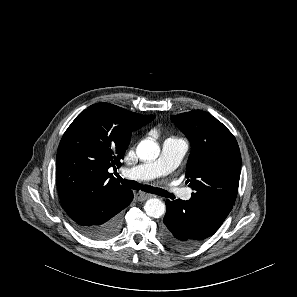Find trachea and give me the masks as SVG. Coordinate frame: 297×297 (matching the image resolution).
Returning <instances> with one entry per match:
<instances>
[{"mask_svg":"<svg viewBox=\"0 0 297 297\" xmlns=\"http://www.w3.org/2000/svg\"><path fill=\"white\" fill-rule=\"evenodd\" d=\"M115 175L118 178V180L126 187H129V188H132V189H135V190L142 189V190H144L146 192L153 193V194H156V195H159V196H162V197H169V198L174 197L173 195L169 194L168 192L164 191L163 189L154 188V187L146 186V185L143 186V185L139 184L136 181L125 180L122 177H120L119 174H117V173Z\"/></svg>","mask_w":297,"mask_h":297,"instance_id":"3493384b","label":"trachea"}]
</instances>
